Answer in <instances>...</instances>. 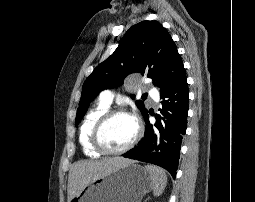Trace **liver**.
I'll return each instance as SVG.
<instances>
[{
	"label": "liver",
	"instance_id": "1",
	"mask_svg": "<svg viewBox=\"0 0 255 202\" xmlns=\"http://www.w3.org/2000/svg\"><path fill=\"white\" fill-rule=\"evenodd\" d=\"M130 164L132 161L123 157L76 162L72 165L68 175V202L92 181Z\"/></svg>",
	"mask_w": 255,
	"mask_h": 202
}]
</instances>
